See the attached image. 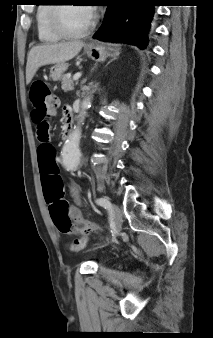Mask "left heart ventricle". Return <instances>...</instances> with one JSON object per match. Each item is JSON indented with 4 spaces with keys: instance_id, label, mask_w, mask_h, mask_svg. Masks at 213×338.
<instances>
[{
    "instance_id": "left-heart-ventricle-1",
    "label": "left heart ventricle",
    "mask_w": 213,
    "mask_h": 338,
    "mask_svg": "<svg viewBox=\"0 0 213 338\" xmlns=\"http://www.w3.org/2000/svg\"><path fill=\"white\" fill-rule=\"evenodd\" d=\"M63 27L70 32L84 30L91 22L88 12L82 6H68L60 13Z\"/></svg>"
}]
</instances>
